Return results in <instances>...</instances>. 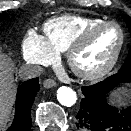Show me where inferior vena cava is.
I'll return each mask as SVG.
<instances>
[{"label":"inferior vena cava","instance_id":"602c4592","mask_svg":"<svg viewBox=\"0 0 131 131\" xmlns=\"http://www.w3.org/2000/svg\"><path fill=\"white\" fill-rule=\"evenodd\" d=\"M43 72V68L39 65L26 64L19 70V76L23 79H31L39 76Z\"/></svg>","mask_w":131,"mask_h":131}]
</instances>
